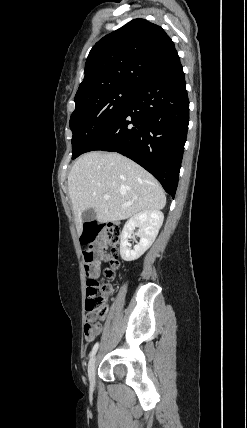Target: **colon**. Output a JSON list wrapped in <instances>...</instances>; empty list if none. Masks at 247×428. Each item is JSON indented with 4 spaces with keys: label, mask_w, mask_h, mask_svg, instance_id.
Instances as JSON below:
<instances>
[{
    "label": "colon",
    "mask_w": 247,
    "mask_h": 428,
    "mask_svg": "<svg viewBox=\"0 0 247 428\" xmlns=\"http://www.w3.org/2000/svg\"><path fill=\"white\" fill-rule=\"evenodd\" d=\"M120 234V227L113 224L89 225L85 233L79 235V242L85 244L97 243L98 236L102 235L105 244L116 252L120 242ZM94 258L95 250L92 245H89L84 250L85 270L90 277L87 287L85 335H92L96 331V321L106 317L108 312L107 299L112 291L109 284L100 282L91 275ZM116 264V259L110 260V267L105 270L106 277L112 278L114 276L112 267Z\"/></svg>",
    "instance_id": "colon-1"
}]
</instances>
